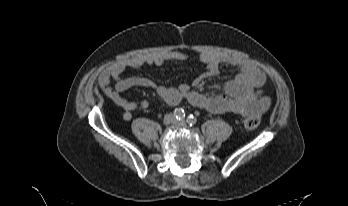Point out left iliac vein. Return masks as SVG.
Listing matches in <instances>:
<instances>
[{
    "label": "left iliac vein",
    "mask_w": 348,
    "mask_h": 206,
    "mask_svg": "<svg viewBox=\"0 0 348 206\" xmlns=\"http://www.w3.org/2000/svg\"><path fill=\"white\" fill-rule=\"evenodd\" d=\"M175 123L180 125V126H185L186 125V121L185 120L175 121Z\"/></svg>",
    "instance_id": "1"
}]
</instances>
